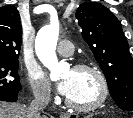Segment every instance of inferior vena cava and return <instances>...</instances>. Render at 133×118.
<instances>
[{"mask_svg":"<svg viewBox=\"0 0 133 118\" xmlns=\"http://www.w3.org/2000/svg\"><path fill=\"white\" fill-rule=\"evenodd\" d=\"M35 99L28 108L27 118H40L42 111L50 101V90L43 88L34 93Z\"/></svg>","mask_w":133,"mask_h":118,"instance_id":"inferior-vena-cava-1","label":"inferior vena cava"}]
</instances>
